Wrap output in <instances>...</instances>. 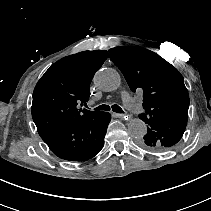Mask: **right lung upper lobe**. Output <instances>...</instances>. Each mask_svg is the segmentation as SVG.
Returning <instances> with one entry per match:
<instances>
[{
	"mask_svg": "<svg viewBox=\"0 0 211 211\" xmlns=\"http://www.w3.org/2000/svg\"><path fill=\"white\" fill-rule=\"evenodd\" d=\"M107 57L105 50L84 51L60 59L45 72L32 102V117L40 136L98 113L77 105L88 101L91 80Z\"/></svg>",
	"mask_w": 211,
	"mask_h": 211,
	"instance_id": "obj_1",
	"label": "right lung upper lobe"
}]
</instances>
